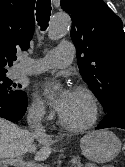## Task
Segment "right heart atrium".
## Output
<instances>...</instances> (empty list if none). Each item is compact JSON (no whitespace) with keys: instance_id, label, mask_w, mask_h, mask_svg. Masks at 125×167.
<instances>
[{"instance_id":"right-heart-atrium-1","label":"right heart atrium","mask_w":125,"mask_h":167,"mask_svg":"<svg viewBox=\"0 0 125 167\" xmlns=\"http://www.w3.org/2000/svg\"><path fill=\"white\" fill-rule=\"evenodd\" d=\"M29 115L36 121H49L52 118V113L46 108L44 103L36 96L28 107Z\"/></svg>"}]
</instances>
